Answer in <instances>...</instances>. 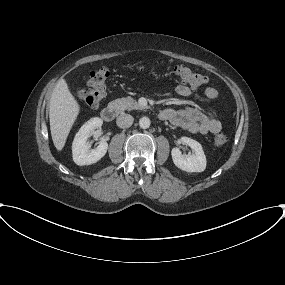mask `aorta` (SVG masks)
Listing matches in <instances>:
<instances>
[{
  "label": "aorta",
  "mask_w": 285,
  "mask_h": 285,
  "mask_svg": "<svg viewBox=\"0 0 285 285\" xmlns=\"http://www.w3.org/2000/svg\"><path fill=\"white\" fill-rule=\"evenodd\" d=\"M150 119L148 117H142L140 118L139 120V126L142 128V129H147L150 127Z\"/></svg>",
  "instance_id": "1"
}]
</instances>
